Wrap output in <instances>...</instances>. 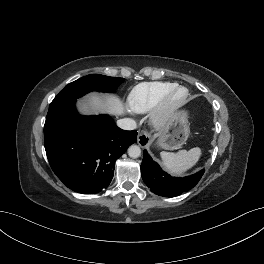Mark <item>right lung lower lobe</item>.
Masks as SVG:
<instances>
[{
	"instance_id": "98d812e1",
	"label": "right lung lower lobe",
	"mask_w": 264,
	"mask_h": 264,
	"mask_svg": "<svg viewBox=\"0 0 264 264\" xmlns=\"http://www.w3.org/2000/svg\"><path fill=\"white\" fill-rule=\"evenodd\" d=\"M44 141L57 177L75 192L94 194L109 186L115 161L137 132L118 128L108 115L81 116L71 101L46 117Z\"/></svg>"
}]
</instances>
